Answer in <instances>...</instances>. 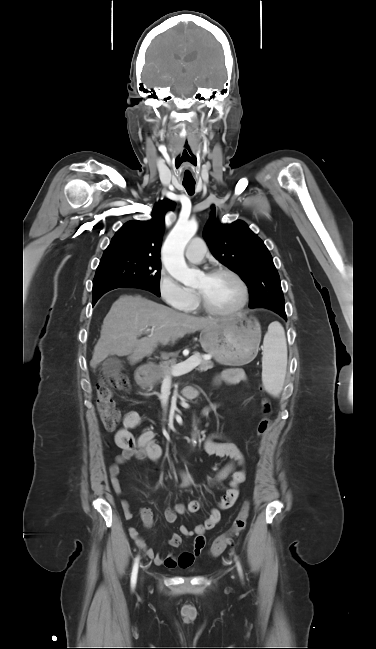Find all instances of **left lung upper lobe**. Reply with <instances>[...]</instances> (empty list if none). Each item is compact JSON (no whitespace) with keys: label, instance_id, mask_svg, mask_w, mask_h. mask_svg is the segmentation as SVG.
<instances>
[{"label":"left lung upper lobe","instance_id":"left-lung-upper-lobe-1","mask_svg":"<svg viewBox=\"0 0 376 649\" xmlns=\"http://www.w3.org/2000/svg\"><path fill=\"white\" fill-rule=\"evenodd\" d=\"M214 212V206H212ZM203 236L213 256L236 271L250 291V308L265 307L285 314L279 274L262 240L241 220L220 224L213 216Z\"/></svg>","mask_w":376,"mask_h":649}]
</instances>
